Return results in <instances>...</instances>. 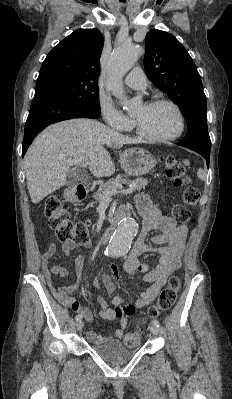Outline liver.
<instances>
[{
	"instance_id": "6515ba94",
	"label": "liver",
	"mask_w": 232,
	"mask_h": 399,
	"mask_svg": "<svg viewBox=\"0 0 232 399\" xmlns=\"http://www.w3.org/2000/svg\"><path fill=\"white\" fill-rule=\"evenodd\" d=\"M138 144L96 120H66L43 130L31 144L25 158L26 184L33 203L43 200L66 184L68 160H82L96 178L115 172L108 148Z\"/></svg>"
}]
</instances>
